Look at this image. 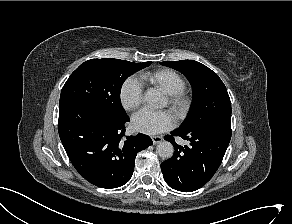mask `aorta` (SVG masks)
Masks as SVG:
<instances>
[{
  "label": "aorta",
  "instance_id": "aorta-1",
  "mask_svg": "<svg viewBox=\"0 0 292 224\" xmlns=\"http://www.w3.org/2000/svg\"><path fill=\"white\" fill-rule=\"evenodd\" d=\"M144 102L150 108H160L163 104V97L160 92L150 89L145 93ZM156 150L161 158H170L174 153L173 145L168 141L160 142Z\"/></svg>",
  "mask_w": 292,
  "mask_h": 224
}]
</instances>
